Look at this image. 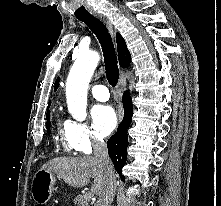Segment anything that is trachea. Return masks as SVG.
<instances>
[{"instance_id": "1", "label": "trachea", "mask_w": 221, "mask_h": 206, "mask_svg": "<svg viewBox=\"0 0 221 206\" xmlns=\"http://www.w3.org/2000/svg\"><path fill=\"white\" fill-rule=\"evenodd\" d=\"M77 18L84 22L99 40L103 51L107 80L112 87H115L119 79V69L114 44L108 29L100 20L92 15Z\"/></svg>"}]
</instances>
